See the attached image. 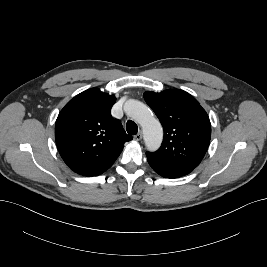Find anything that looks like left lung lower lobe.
Instances as JSON below:
<instances>
[{"label": "left lung lower lobe", "mask_w": 267, "mask_h": 267, "mask_svg": "<svg viewBox=\"0 0 267 267\" xmlns=\"http://www.w3.org/2000/svg\"><path fill=\"white\" fill-rule=\"evenodd\" d=\"M148 163L153 168L155 172L165 178H178L184 175L189 174L193 171L192 168L180 167V166H171L157 163L148 159Z\"/></svg>", "instance_id": "left-lung-lower-lobe-1"}]
</instances>
